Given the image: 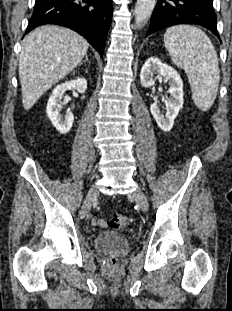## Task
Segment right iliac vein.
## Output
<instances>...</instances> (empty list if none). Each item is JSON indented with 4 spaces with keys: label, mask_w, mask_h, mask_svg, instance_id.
<instances>
[{
    "label": "right iliac vein",
    "mask_w": 232,
    "mask_h": 311,
    "mask_svg": "<svg viewBox=\"0 0 232 311\" xmlns=\"http://www.w3.org/2000/svg\"><path fill=\"white\" fill-rule=\"evenodd\" d=\"M98 196V188L96 185H93L86 196L85 202L81 208L80 211V217L81 218H85L88 214V212L90 211V208L93 204V201L95 200V198Z\"/></svg>",
    "instance_id": "right-iliac-vein-1"
}]
</instances>
